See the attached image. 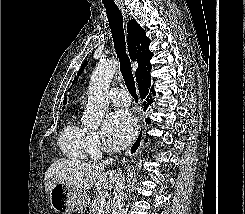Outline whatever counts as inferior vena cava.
Returning a JSON list of instances; mask_svg holds the SVG:
<instances>
[{"instance_id": "inferior-vena-cava-1", "label": "inferior vena cava", "mask_w": 245, "mask_h": 214, "mask_svg": "<svg viewBox=\"0 0 245 214\" xmlns=\"http://www.w3.org/2000/svg\"><path fill=\"white\" fill-rule=\"evenodd\" d=\"M111 161H112V159L106 160L103 162V165L110 163ZM119 171L120 170H118L119 178H118V180L115 184V187H114L113 212H112V214H126L124 209L122 208L123 200L125 197V194H124L125 178L122 177V175Z\"/></svg>"}]
</instances>
